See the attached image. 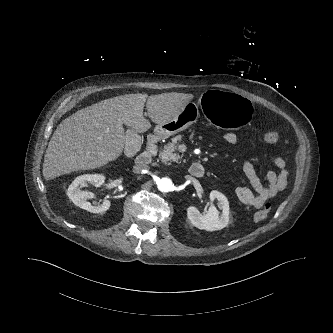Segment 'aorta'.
Masks as SVG:
<instances>
[{"label": "aorta", "mask_w": 333, "mask_h": 333, "mask_svg": "<svg viewBox=\"0 0 333 333\" xmlns=\"http://www.w3.org/2000/svg\"><path fill=\"white\" fill-rule=\"evenodd\" d=\"M157 187L161 192H169L173 188V182L170 178L163 177L157 181Z\"/></svg>", "instance_id": "1"}]
</instances>
